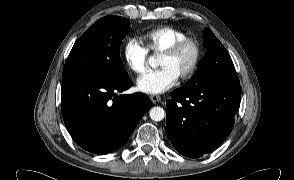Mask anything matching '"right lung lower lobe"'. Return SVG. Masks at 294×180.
Returning <instances> with one entry per match:
<instances>
[{"label":"right lung lower lobe","instance_id":"right-lung-lower-lobe-1","mask_svg":"<svg viewBox=\"0 0 294 180\" xmlns=\"http://www.w3.org/2000/svg\"><path fill=\"white\" fill-rule=\"evenodd\" d=\"M131 85L130 78L80 77L62 82V116L78 145L88 152L107 154L126 143L152 106L142 93L116 95Z\"/></svg>","mask_w":294,"mask_h":180}]
</instances>
